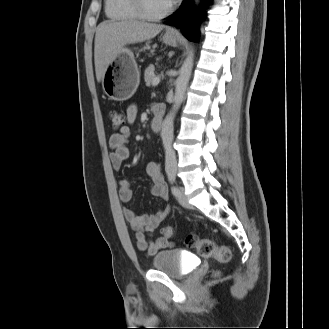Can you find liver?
<instances>
[{
	"label": "liver",
	"mask_w": 329,
	"mask_h": 329,
	"mask_svg": "<svg viewBox=\"0 0 329 329\" xmlns=\"http://www.w3.org/2000/svg\"><path fill=\"white\" fill-rule=\"evenodd\" d=\"M162 25L139 21H104L96 30L94 60L97 81L103 78L106 67L126 44L143 42L158 35Z\"/></svg>",
	"instance_id": "6515ba94"
}]
</instances>
